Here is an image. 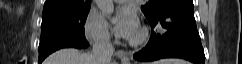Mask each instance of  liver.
<instances>
[{
	"label": "liver",
	"mask_w": 242,
	"mask_h": 64,
	"mask_svg": "<svg viewBox=\"0 0 242 64\" xmlns=\"http://www.w3.org/2000/svg\"><path fill=\"white\" fill-rule=\"evenodd\" d=\"M43 64H97L93 55L76 49H62L51 54Z\"/></svg>",
	"instance_id": "1"
}]
</instances>
